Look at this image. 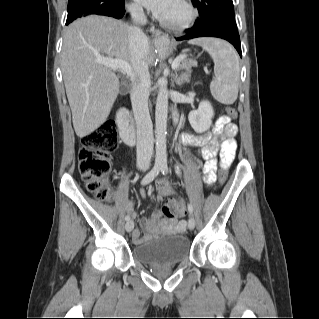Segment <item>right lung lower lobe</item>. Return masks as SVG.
<instances>
[{
  "mask_svg": "<svg viewBox=\"0 0 319 319\" xmlns=\"http://www.w3.org/2000/svg\"><path fill=\"white\" fill-rule=\"evenodd\" d=\"M124 14H125L124 0L119 5H116L115 7H113L111 10L97 13V15L110 16V17H114L117 19L122 18L124 16Z\"/></svg>",
  "mask_w": 319,
  "mask_h": 319,
  "instance_id": "right-lung-lower-lobe-1",
  "label": "right lung lower lobe"
}]
</instances>
